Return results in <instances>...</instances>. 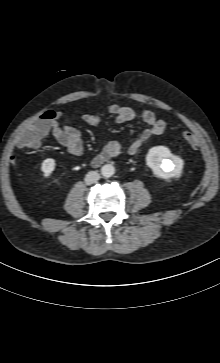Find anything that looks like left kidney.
Returning a JSON list of instances; mask_svg holds the SVG:
<instances>
[{"mask_svg": "<svg viewBox=\"0 0 220 363\" xmlns=\"http://www.w3.org/2000/svg\"><path fill=\"white\" fill-rule=\"evenodd\" d=\"M147 165L160 178H179L183 168V161L171 154L165 146H155L149 149L146 156Z\"/></svg>", "mask_w": 220, "mask_h": 363, "instance_id": "obj_1", "label": "left kidney"}]
</instances>
